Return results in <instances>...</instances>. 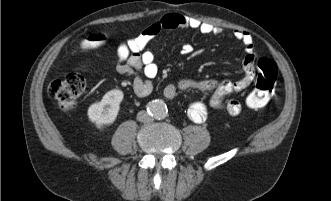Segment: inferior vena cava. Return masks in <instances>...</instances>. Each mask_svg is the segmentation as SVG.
I'll use <instances>...</instances> for the list:
<instances>
[{"label": "inferior vena cava", "instance_id": "602c4592", "mask_svg": "<svg viewBox=\"0 0 331 201\" xmlns=\"http://www.w3.org/2000/svg\"><path fill=\"white\" fill-rule=\"evenodd\" d=\"M137 120L140 122H150L153 117L145 110L139 111L137 114Z\"/></svg>", "mask_w": 331, "mask_h": 201}]
</instances>
